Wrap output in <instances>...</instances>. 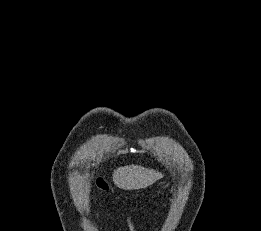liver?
Wrapping results in <instances>:
<instances>
[{
    "instance_id": "1",
    "label": "liver",
    "mask_w": 261,
    "mask_h": 231,
    "mask_svg": "<svg viewBox=\"0 0 261 231\" xmlns=\"http://www.w3.org/2000/svg\"><path fill=\"white\" fill-rule=\"evenodd\" d=\"M163 174L138 165L119 167L113 173L114 184L124 190L146 188L161 179Z\"/></svg>"
}]
</instances>
